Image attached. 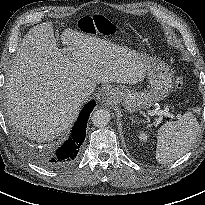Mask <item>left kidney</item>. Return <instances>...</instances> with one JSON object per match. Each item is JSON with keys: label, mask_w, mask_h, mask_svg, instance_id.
I'll use <instances>...</instances> for the list:
<instances>
[{"label": "left kidney", "mask_w": 205, "mask_h": 205, "mask_svg": "<svg viewBox=\"0 0 205 205\" xmlns=\"http://www.w3.org/2000/svg\"><path fill=\"white\" fill-rule=\"evenodd\" d=\"M138 138L141 142H146L149 138V135L145 132H140Z\"/></svg>", "instance_id": "1"}]
</instances>
